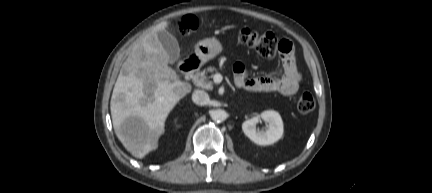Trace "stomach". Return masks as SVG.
<instances>
[{
  "label": "stomach",
  "instance_id": "stomach-1",
  "mask_svg": "<svg viewBox=\"0 0 432 193\" xmlns=\"http://www.w3.org/2000/svg\"><path fill=\"white\" fill-rule=\"evenodd\" d=\"M221 51L222 45L215 38L201 40L195 46V55L203 63L213 59Z\"/></svg>",
  "mask_w": 432,
  "mask_h": 193
}]
</instances>
